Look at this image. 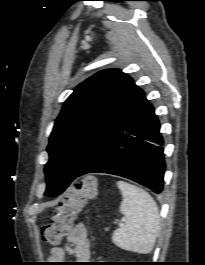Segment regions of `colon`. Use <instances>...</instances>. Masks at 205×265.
<instances>
[{"mask_svg":"<svg viewBox=\"0 0 205 265\" xmlns=\"http://www.w3.org/2000/svg\"><path fill=\"white\" fill-rule=\"evenodd\" d=\"M97 190V179L94 176H86L76 183L43 226V240L49 244H58L70 232L77 214L85 204L96 198Z\"/></svg>","mask_w":205,"mask_h":265,"instance_id":"1","label":"colon"}]
</instances>
